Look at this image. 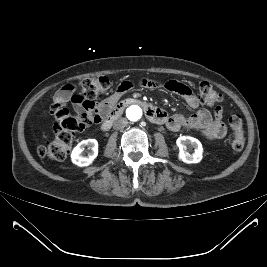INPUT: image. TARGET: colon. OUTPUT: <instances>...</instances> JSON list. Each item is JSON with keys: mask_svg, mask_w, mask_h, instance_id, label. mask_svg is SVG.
<instances>
[{"mask_svg": "<svg viewBox=\"0 0 267 267\" xmlns=\"http://www.w3.org/2000/svg\"><path fill=\"white\" fill-rule=\"evenodd\" d=\"M112 82L106 76L87 77L78 82L80 101L92 102L102 98L111 88ZM195 89L198 92V100L202 105L212 106L222 100L221 94L208 82H197ZM49 115L54 121L53 139H44L39 145L37 152L39 156L54 160L64 159L70 152L76 137V133L85 126L92 124V120L85 117H76L60 104L53 105ZM229 125L234 132L232 147L240 151L245 145L243 121L239 115L229 118Z\"/></svg>", "mask_w": 267, "mask_h": 267, "instance_id": "colon-1", "label": "colon"}]
</instances>
